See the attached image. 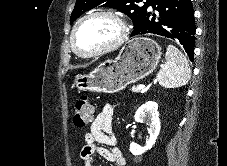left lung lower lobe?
Returning a JSON list of instances; mask_svg holds the SVG:
<instances>
[{
    "instance_id": "0a47b994",
    "label": "left lung lower lobe",
    "mask_w": 227,
    "mask_h": 166,
    "mask_svg": "<svg viewBox=\"0 0 227 166\" xmlns=\"http://www.w3.org/2000/svg\"><path fill=\"white\" fill-rule=\"evenodd\" d=\"M152 6L159 15L146 14L134 35L153 33L180 43L190 60H194L195 21L191 0H147L146 8ZM132 35V36H134Z\"/></svg>"
}]
</instances>
